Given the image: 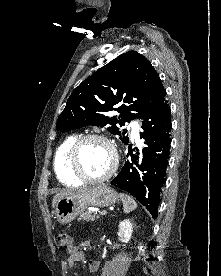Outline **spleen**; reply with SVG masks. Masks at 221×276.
Instances as JSON below:
<instances>
[{
	"label": "spleen",
	"mask_w": 221,
	"mask_h": 276,
	"mask_svg": "<svg viewBox=\"0 0 221 276\" xmlns=\"http://www.w3.org/2000/svg\"><path fill=\"white\" fill-rule=\"evenodd\" d=\"M120 198L123 203V211L124 213H130L131 211L135 210L137 208L136 201L130 197L129 195H126L124 193H120Z\"/></svg>",
	"instance_id": "spleen-1"
}]
</instances>
